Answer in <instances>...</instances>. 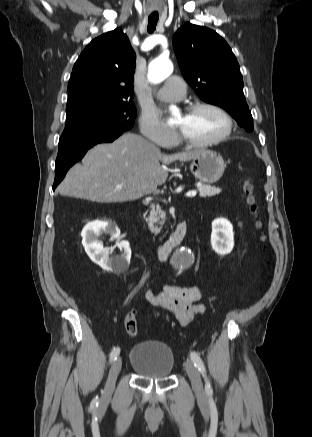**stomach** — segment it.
Wrapping results in <instances>:
<instances>
[{
	"label": "stomach",
	"instance_id": "1",
	"mask_svg": "<svg viewBox=\"0 0 312 437\" xmlns=\"http://www.w3.org/2000/svg\"><path fill=\"white\" fill-rule=\"evenodd\" d=\"M189 168L196 179L211 184L221 178L225 170V163L220 154L204 149L200 150L193 158Z\"/></svg>",
	"mask_w": 312,
	"mask_h": 437
}]
</instances>
